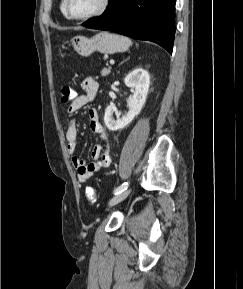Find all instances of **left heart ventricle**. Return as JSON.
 Instances as JSON below:
<instances>
[{
    "label": "left heart ventricle",
    "mask_w": 243,
    "mask_h": 289,
    "mask_svg": "<svg viewBox=\"0 0 243 289\" xmlns=\"http://www.w3.org/2000/svg\"><path fill=\"white\" fill-rule=\"evenodd\" d=\"M102 0H69V10L74 16H84L96 11Z\"/></svg>",
    "instance_id": "obj_1"
}]
</instances>
